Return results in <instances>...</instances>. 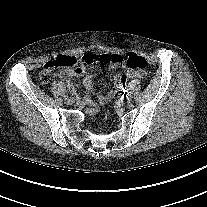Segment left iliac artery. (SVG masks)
I'll use <instances>...</instances> for the list:
<instances>
[{
	"instance_id": "1",
	"label": "left iliac artery",
	"mask_w": 207,
	"mask_h": 207,
	"mask_svg": "<svg viewBox=\"0 0 207 207\" xmlns=\"http://www.w3.org/2000/svg\"><path fill=\"white\" fill-rule=\"evenodd\" d=\"M133 96V93L131 91H128L126 94H125V97L127 99H130L131 97Z\"/></svg>"
}]
</instances>
